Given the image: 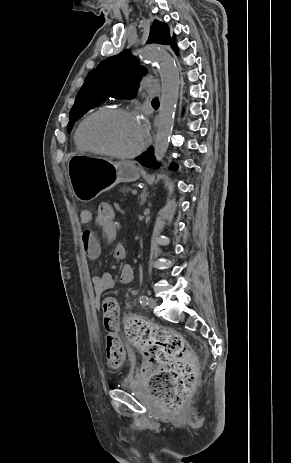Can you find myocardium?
Segmentation results:
<instances>
[{
	"mask_svg": "<svg viewBox=\"0 0 291 463\" xmlns=\"http://www.w3.org/2000/svg\"><path fill=\"white\" fill-rule=\"evenodd\" d=\"M116 116H124V117L136 119V115L134 112L128 109H124V108H111V109H106V110L95 112L89 115L88 117H86L79 127L78 136H79L81 143L84 145L85 148H87L88 150L92 152L106 155V156L113 157V158L130 159V158H134L140 155L148 143L147 135L144 136L142 143L139 145V147L136 150L132 152H127V153H120V152L110 150L103 146L95 145L87 138L86 129L92 121L97 120V119L112 118Z\"/></svg>",
	"mask_w": 291,
	"mask_h": 463,
	"instance_id": "obj_1",
	"label": "myocardium"
}]
</instances>
